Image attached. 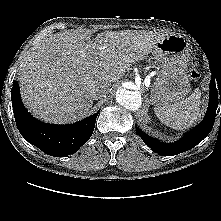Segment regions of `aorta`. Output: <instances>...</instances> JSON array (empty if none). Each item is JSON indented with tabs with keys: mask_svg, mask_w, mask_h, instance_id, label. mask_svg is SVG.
<instances>
[{
	"mask_svg": "<svg viewBox=\"0 0 221 221\" xmlns=\"http://www.w3.org/2000/svg\"><path fill=\"white\" fill-rule=\"evenodd\" d=\"M116 101L126 109L137 110L141 106V94L138 91L120 88L116 92Z\"/></svg>",
	"mask_w": 221,
	"mask_h": 221,
	"instance_id": "762f6f07",
	"label": "aorta"
}]
</instances>
